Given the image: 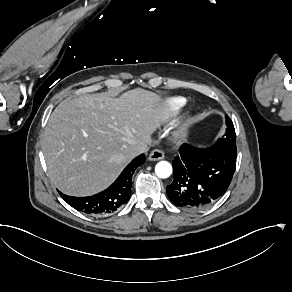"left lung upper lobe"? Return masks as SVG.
Returning a JSON list of instances; mask_svg holds the SVG:
<instances>
[{"label": "left lung upper lobe", "mask_w": 292, "mask_h": 292, "mask_svg": "<svg viewBox=\"0 0 292 292\" xmlns=\"http://www.w3.org/2000/svg\"><path fill=\"white\" fill-rule=\"evenodd\" d=\"M226 124L228 128L226 129L225 135L220 138L215 145L224 147L230 151H237L234 125L228 115H226Z\"/></svg>", "instance_id": "5c2ea615"}]
</instances>
